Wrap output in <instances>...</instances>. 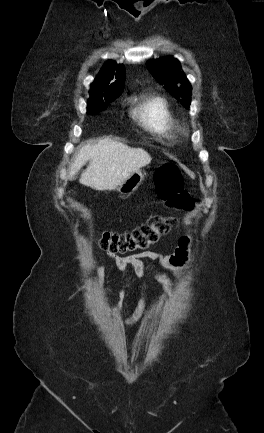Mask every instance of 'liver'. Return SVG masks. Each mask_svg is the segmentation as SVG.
I'll return each instance as SVG.
<instances>
[{"label":"liver","mask_w":264,"mask_h":433,"mask_svg":"<svg viewBox=\"0 0 264 433\" xmlns=\"http://www.w3.org/2000/svg\"><path fill=\"white\" fill-rule=\"evenodd\" d=\"M89 161L80 176V183L92 189L114 190L132 173L148 165L151 156L142 148H131L109 137L97 143L80 146L69 171L73 179L81 167Z\"/></svg>","instance_id":"obj_1"}]
</instances>
